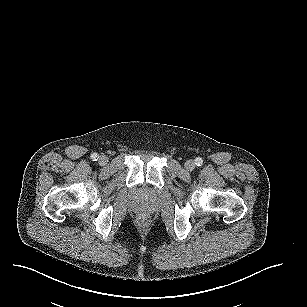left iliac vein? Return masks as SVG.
<instances>
[{
  "mask_svg": "<svg viewBox=\"0 0 307 307\" xmlns=\"http://www.w3.org/2000/svg\"><path fill=\"white\" fill-rule=\"evenodd\" d=\"M185 169L188 171H193L195 169V162L193 160H187L185 162Z\"/></svg>",
  "mask_w": 307,
  "mask_h": 307,
  "instance_id": "obj_1",
  "label": "left iliac vein"
}]
</instances>
